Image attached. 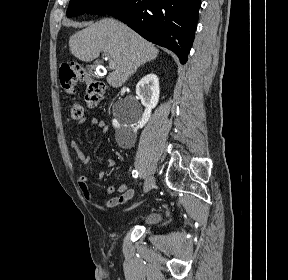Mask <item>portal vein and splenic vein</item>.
Segmentation results:
<instances>
[{
    "label": "portal vein and splenic vein",
    "instance_id": "18ae733b",
    "mask_svg": "<svg viewBox=\"0 0 288 280\" xmlns=\"http://www.w3.org/2000/svg\"><path fill=\"white\" fill-rule=\"evenodd\" d=\"M104 55L106 56V58H109V55L107 53H104ZM114 67H115L114 62L111 59H109V68L114 69Z\"/></svg>",
    "mask_w": 288,
    "mask_h": 280
}]
</instances>
